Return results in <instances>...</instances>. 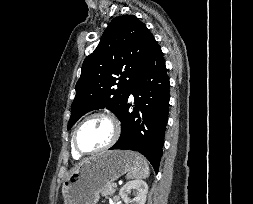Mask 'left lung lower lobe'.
Returning a JSON list of instances; mask_svg holds the SVG:
<instances>
[{
  "label": "left lung lower lobe",
  "mask_w": 253,
  "mask_h": 204,
  "mask_svg": "<svg viewBox=\"0 0 253 204\" xmlns=\"http://www.w3.org/2000/svg\"><path fill=\"white\" fill-rule=\"evenodd\" d=\"M169 86L163 53L156 44L130 89L129 95L135 99L133 112L128 111L130 105L126 101L119 116L121 136L110 148L140 152L156 172L163 153L168 120Z\"/></svg>",
  "instance_id": "0a47b994"
}]
</instances>
